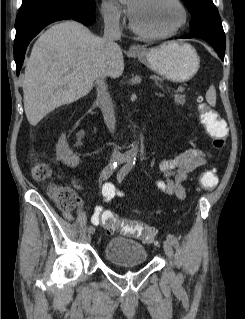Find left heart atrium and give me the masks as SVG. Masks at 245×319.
Returning <instances> with one entry per match:
<instances>
[{"mask_svg": "<svg viewBox=\"0 0 245 319\" xmlns=\"http://www.w3.org/2000/svg\"><path fill=\"white\" fill-rule=\"evenodd\" d=\"M138 1H139V0H128L127 12H128V14H129V16H130L131 18H132L133 15L135 14Z\"/></svg>", "mask_w": 245, "mask_h": 319, "instance_id": "left-heart-atrium-1", "label": "left heart atrium"}]
</instances>
